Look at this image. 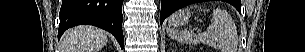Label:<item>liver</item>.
Here are the masks:
<instances>
[{"label": "liver", "mask_w": 305, "mask_h": 52, "mask_svg": "<svg viewBox=\"0 0 305 52\" xmlns=\"http://www.w3.org/2000/svg\"><path fill=\"white\" fill-rule=\"evenodd\" d=\"M107 41V34L103 30L92 26H79L66 31L61 52H99Z\"/></svg>", "instance_id": "6515ba94"}]
</instances>
